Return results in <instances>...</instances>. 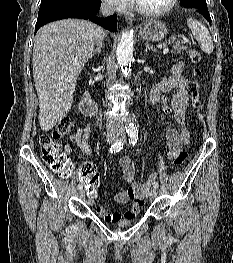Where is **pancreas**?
Wrapping results in <instances>:
<instances>
[{
	"mask_svg": "<svg viewBox=\"0 0 233 263\" xmlns=\"http://www.w3.org/2000/svg\"><path fill=\"white\" fill-rule=\"evenodd\" d=\"M171 40L173 42V52L174 53H180L181 50L186 49V47L182 46L179 41L175 42L174 38H171ZM166 44H167V42L164 43V45H166ZM168 44H170V41L168 42Z\"/></svg>",
	"mask_w": 233,
	"mask_h": 263,
	"instance_id": "obj_1",
	"label": "pancreas"
}]
</instances>
